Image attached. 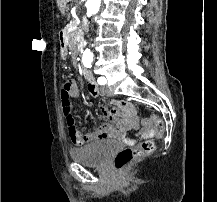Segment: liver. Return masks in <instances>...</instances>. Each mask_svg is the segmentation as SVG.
<instances>
[{"mask_svg": "<svg viewBox=\"0 0 217 202\" xmlns=\"http://www.w3.org/2000/svg\"><path fill=\"white\" fill-rule=\"evenodd\" d=\"M67 2H72V0H57V6L62 16H65Z\"/></svg>", "mask_w": 217, "mask_h": 202, "instance_id": "liver-1", "label": "liver"}]
</instances>
